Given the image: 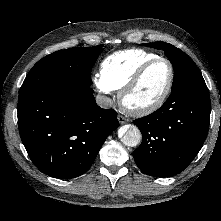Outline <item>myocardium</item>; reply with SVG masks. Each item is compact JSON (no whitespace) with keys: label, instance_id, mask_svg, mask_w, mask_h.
<instances>
[{"label":"myocardium","instance_id":"f54148a6","mask_svg":"<svg viewBox=\"0 0 221 221\" xmlns=\"http://www.w3.org/2000/svg\"><path fill=\"white\" fill-rule=\"evenodd\" d=\"M158 62H165L169 66V79L167 82V85L161 95L152 103L144 105V106H138V107H132L129 106L126 103L127 96L136 88V86L139 84L143 76L146 74V72L156 63ZM175 79V71L174 66L171 63L170 60L164 57H156L153 58L146 63H144L129 79V81L121 88L119 92V102L121 107L128 113L135 115V116H144L148 115L157 109H159L164 102L166 101L167 97L169 96L173 83Z\"/></svg>","mask_w":221,"mask_h":221}]
</instances>
